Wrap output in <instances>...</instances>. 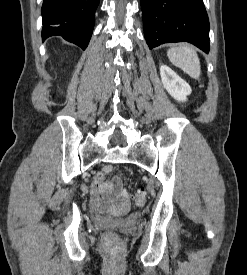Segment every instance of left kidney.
Segmentation results:
<instances>
[{"mask_svg":"<svg viewBox=\"0 0 247 275\" xmlns=\"http://www.w3.org/2000/svg\"><path fill=\"white\" fill-rule=\"evenodd\" d=\"M160 76L164 88L167 92L177 101L184 102L187 96L191 94L192 90L190 85L177 75L167 65L160 67Z\"/></svg>","mask_w":247,"mask_h":275,"instance_id":"obj_1","label":"left kidney"}]
</instances>
